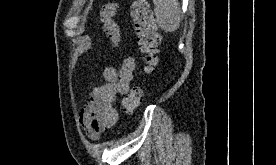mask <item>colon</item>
Masks as SVG:
<instances>
[{
  "instance_id": "colon-1",
  "label": "colon",
  "mask_w": 276,
  "mask_h": 165,
  "mask_svg": "<svg viewBox=\"0 0 276 165\" xmlns=\"http://www.w3.org/2000/svg\"><path fill=\"white\" fill-rule=\"evenodd\" d=\"M117 5L113 2L103 4L99 9V18L104 33L114 45L121 38L118 23L115 20ZM130 16L134 23L137 43L142 54L143 71L151 73L157 63L160 35L153 13L146 0H134L129 4ZM143 89L136 85L124 95L121 101V111L124 114H132L141 104Z\"/></svg>"
}]
</instances>
